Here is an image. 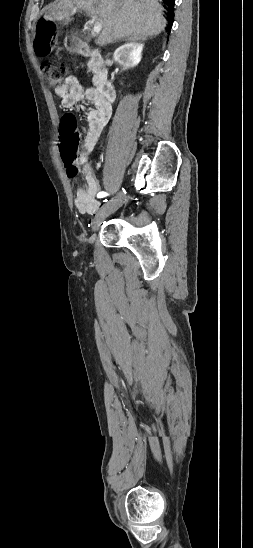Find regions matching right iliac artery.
Here are the masks:
<instances>
[{
  "label": "right iliac artery",
  "mask_w": 253,
  "mask_h": 548,
  "mask_svg": "<svg viewBox=\"0 0 253 548\" xmlns=\"http://www.w3.org/2000/svg\"><path fill=\"white\" fill-rule=\"evenodd\" d=\"M107 195H108V194H107L106 192H99V193L97 194V197H98V198H102V197H105V196H107Z\"/></svg>",
  "instance_id": "obj_1"
}]
</instances>
